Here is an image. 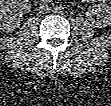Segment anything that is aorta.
I'll list each match as a JSON object with an SVG mask.
<instances>
[{"instance_id":"762f6f07","label":"aorta","mask_w":111,"mask_h":106,"mask_svg":"<svg viewBox=\"0 0 111 106\" xmlns=\"http://www.w3.org/2000/svg\"><path fill=\"white\" fill-rule=\"evenodd\" d=\"M63 6L62 5H57L56 7H55V12H57V13H61V12H63Z\"/></svg>"}]
</instances>
